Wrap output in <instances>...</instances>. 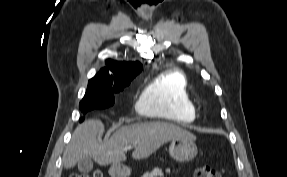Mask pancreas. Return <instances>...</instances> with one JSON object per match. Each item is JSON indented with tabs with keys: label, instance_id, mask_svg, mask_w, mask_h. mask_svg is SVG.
<instances>
[{
	"label": "pancreas",
	"instance_id": "obj_1",
	"mask_svg": "<svg viewBox=\"0 0 287 177\" xmlns=\"http://www.w3.org/2000/svg\"><path fill=\"white\" fill-rule=\"evenodd\" d=\"M167 173H170V170L167 169ZM163 177L164 173L162 172L161 169L155 168L151 172H146L145 174L142 175V177Z\"/></svg>",
	"mask_w": 287,
	"mask_h": 177
}]
</instances>
